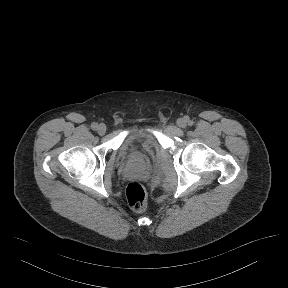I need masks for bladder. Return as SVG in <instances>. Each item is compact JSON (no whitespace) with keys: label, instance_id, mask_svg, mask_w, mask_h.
Returning <instances> with one entry per match:
<instances>
[{"label":"bladder","instance_id":"1","mask_svg":"<svg viewBox=\"0 0 288 288\" xmlns=\"http://www.w3.org/2000/svg\"><path fill=\"white\" fill-rule=\"evenodd\" d=\"M159 146V140L153 132L137 130L124 137L118 148V155L122 159H133L140 155L153 156Z\"/></svg>","mask_w":288,"mask_h":288}]
</instances>
